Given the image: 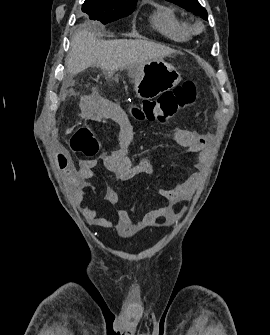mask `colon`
<instances>
[{
    "label": "colon",
    "mask_w": 270,
    "mask_h": 335,
    "mask_svg": "<svg viewBox=\"0 0 270 335\" xmlns=\"http://www.w3.org/2000/svg\"><path fill=\"white\" fill-rule=\"evenodd\" d=\"M195 96L196 86L184 83L164 91L157 99H144L140 105L131 108V114L137 121L162 122L191 105ZM100 146L97 134L89 126L80 127L70 138L72 152L85 158L96 157Z\"/></svg>",
    "instance_id": "obj_1"
}]
</instances>
